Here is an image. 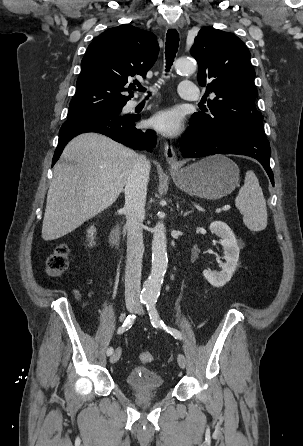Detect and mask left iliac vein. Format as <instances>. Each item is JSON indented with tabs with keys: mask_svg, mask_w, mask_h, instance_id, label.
Listing matches in <instances>:
<instances>
[{
	"mask_svg": "<svg viewBox=\"0 0 303 446\" xmlns=\"http://www.w3.org/2000/svg\"><path fill=\"white\" fill-rule=\"evenodd\" d=\"M143 312L144 311L142 308H139L137 310L138 314H143ZM177 362L182 369H184L186 367V357L183 354H178Z\"/></svg>",
	"mask_w": 303,
	"mask_h": 446,
	"instance_id": "obj_1",
	"label": "left iliac vein"
}]
</instances>
